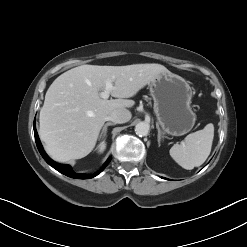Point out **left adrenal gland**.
I'll return each mask as SVG.
<instances>
[{
  "mask_svg": "<svg viewBox=\"0 0 247 247\" xmlns=\"http://www.w3.org/2000/svg\"><path fill=\"white\" fill-rule=\"evenodd\" d=\"M156 128H157V130H158V145L160 146L161 144V130H160V128H159V125H158V123L156 124Z\"/></svg>",
  "mask_w": 247,
  "mask_h": 247,
  "instance_id": "1",
  "label": "left adrenal gland"
}]
</instances>
